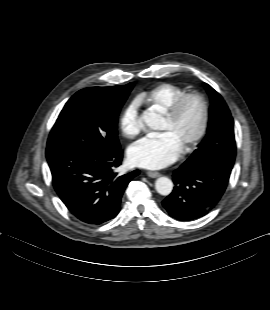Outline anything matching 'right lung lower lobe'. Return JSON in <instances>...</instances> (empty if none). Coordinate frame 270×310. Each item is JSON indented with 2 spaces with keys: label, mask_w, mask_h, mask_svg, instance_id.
<instances>
[{
  "label": "right lung lower lobe",
  "mask_w": 270,
  "mask_h": 310,
  "mask_svg": "<svg viewBox=\"0 0 270 310\" xmlns=\"http://www.w3.org/2000/svg\"><path fill=\"white\" fill-rule=\"evenodd\" d=\"M55 191L79 220L99 225L116 217L123 192L138 170L118 176L120 149L96 151L74 146L47 147Z\"/></svg>",
  "instance_id": "1"
}]
</instances>
